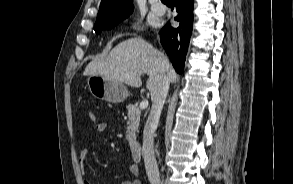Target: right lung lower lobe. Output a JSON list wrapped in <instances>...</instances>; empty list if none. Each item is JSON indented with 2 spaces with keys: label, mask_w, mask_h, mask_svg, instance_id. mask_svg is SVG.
Returning <instances> with one entry per match:
<instances>
[{
  "label": "right lung lower lobe",
  "mask_w": 293,
  "mask_h": 184,
  "mask_svg": "<svg viewBox=\"0 0 293 184\" xmlns=\"http://www.w3.org/2000/svg\"><path fill=\"white\" fill-rule=\"evenodd\" d=\"M172 2L178 13L175 20L180 22V27L174 29L168 22L160 32V41L175 70L181 74L192 32L193 0H172Z\"/></svg>",
  "instance_id": "1"
}]
</instances>
